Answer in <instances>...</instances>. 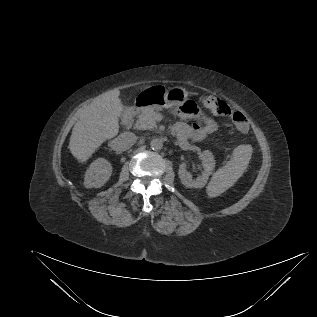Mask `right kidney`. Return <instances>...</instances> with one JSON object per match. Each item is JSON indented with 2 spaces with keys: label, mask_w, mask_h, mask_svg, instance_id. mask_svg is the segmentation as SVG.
Masks as SVG:
<instances>
[{
  "label": "right kidney",
  "mask_w": 317,
  "mask_h": 317,
  "mask_svg": "<svg viewBox=\"0 0 317 317\" xmlns=\"http://www.w3.org/2000/svg\"><path fill=\"white\" fill-rule=\"evenodd\" d=\"M112 173L111 164L104 158H98L91 163L84 178V185L87 188H100L110 178Z\"/></svg>",
  "instance_id": "1"
}]
</instances>
